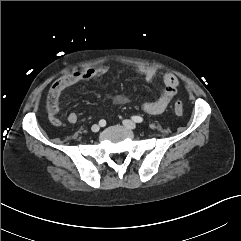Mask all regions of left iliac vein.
Returning <instances> with one entry per match:
<instances>
[{"instance_id":"left-iliac-vein-1","label":"left iliac vein","mask_w":241,"mask_h":241,"mask_svg":"<svg viewBox=\"0 0 241 241\" xmlns=\"http://www.w3.org/2000/svg\"><path fill=\"white\" fill-rule=\"evenodd\" d=\"M123 124H124V126H126L129 129H135L136 128V123L131 121V120H124Z\"/></svg>"}]
</instances>
